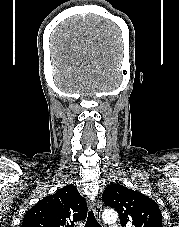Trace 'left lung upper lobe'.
<instances>
[{
  "label": "left lung upper lobe",
  "instance_id": "obj_1",
  "mask_svg": "<svg viewBox=\"0 0 179 227\" xmlns=\"http://www.w3.org/2000/svg\"><path fill=\"white\" fill-rule=\"evenodd\" d=\"M102 199L118 211L122 227H163L159 206L140 192L111 184L105 188Z\"/></svg>",
  "mask_w": 179,
  "mask_h": 227
}]
</instances>
